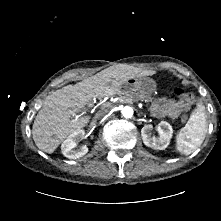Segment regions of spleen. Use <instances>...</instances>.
Returning <instances> with one entry per match:
<instances>
[{"instance_id": "3e777b00", "label": "spleen", "mask_w": 221, "mask_h": 221, "mask_svg": "<svg viewBox=\"0 0 221 221\" xmlns=\"http://www.w3.org/2000/svg\"><path fill=\"white\" fill-rule=\"evenodd\" d=\"M207 133V115L205 106L201 101L197 103L196 108L186 125L180 129L176 136V149L184 154H191L195 149L201 146Z\"/></svg>"}]
</instances>
